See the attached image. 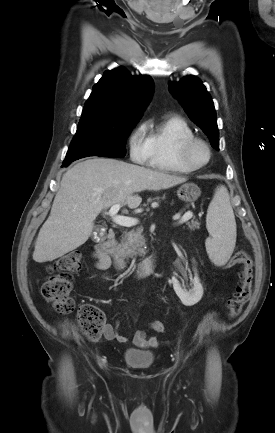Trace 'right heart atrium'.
Here are the masks:
<instances>
[{
	"label": "right heart atrium",
	"instance_id": "d8ad5b80",
	"mask_svg": "<svg viewBox=\"0 0 275 433\" xmlns=\"http://www.w3.org/2000/svg\"><path fill=\"white\" fill-rule=\"evenodd\" d=\"M129 153L132 161L143 164L148 160L149 148L144 124L137 126L128 139Z\"/></svg>",
	"mask_w": 275,
	"mask_h": 433
}]
</instances>
